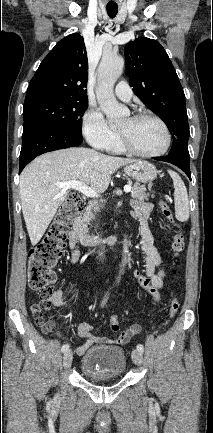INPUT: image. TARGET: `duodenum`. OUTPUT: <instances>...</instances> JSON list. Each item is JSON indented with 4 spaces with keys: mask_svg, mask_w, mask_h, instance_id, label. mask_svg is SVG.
<instances>
[{
    "mask_svg": "<svg viewBox=\"0 0 213 433\" xmlns=\"http://www.w3.org/2000/svg\"><path fill=\"white\" fill-rule=\"evenodd\" d=\"M73 231L75 232L78 241L84 246H96L99 244L113 245L118 242V235L101 236L99 234L87 233L81 223L79 215L73 221Z\"/></svg>",
    "mask_w": 213,
    "mask_h": 433,
    "instance_id": "duodenum-1",
    "label": "duodenum"
}]
</instances>
